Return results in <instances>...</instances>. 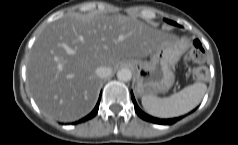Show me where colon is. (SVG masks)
Wrapping results in <instances>:
<instances>
[{
    "label": "colon",
    "instance_id": "5ec220e1",
    "mask_svg": "<svg viewBox=\"0 0 238 145\" xmlns=\"http://www.w3.org/2000/svg\"><path fill=\"white\" fill-rule=\"evenodd\" d=\"M190 57L193 61L197 63H202L205 60L206 53L204 50V46L199 39H195L193 41L190 50ZM193 76L196 80L199 81L205 80L208 76V70L202 66L198 67L195 69Z\"/></svg>",
    "mask_w": 238,
    "mask_h": 145
}]
</instances>
